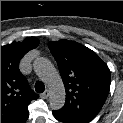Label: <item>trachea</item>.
Masks as SVG:
<instances>
[{
    "mask_svg": "<svg viewBox=\"0 0 123 123\" xmlns=\"http://www.w3.org/2000/svg\"><path fill=\"white\" fill-rule=\"evenodd\" d=\"M35 90L38 93H42L45 90V85L42 82H36L35 83Z\"/></svg>",
    "mask_w": 123,
    "mask_h": 123,
    "instance_id": "obj_1",
    "label": "trachea"
}]
</instances>
